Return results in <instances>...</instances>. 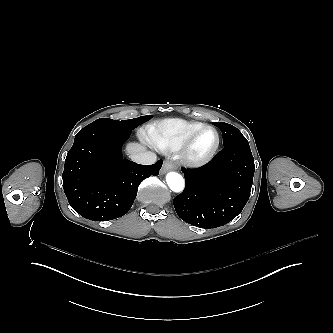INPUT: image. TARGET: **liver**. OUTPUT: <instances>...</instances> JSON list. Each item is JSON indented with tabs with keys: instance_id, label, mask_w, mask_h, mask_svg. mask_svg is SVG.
Wrapping results in <instances>:
<instances>
[{
	"instance_id": "liver-1",
	"label": "liver",
	"mask_w": 333,
	"mask_h": 333,
	"mask_svg": "<svg viewBox=\"0 0 333 333\" xmlns=\"http://www.w3.org/2000/svg\"><path fill=\"white\" fill-rule=\"evenodd\" d=\"M126 151L128 154H137L140 152H145L146 147L139 143H128L126 146Z\"/></svg>"
}]
</instances>
